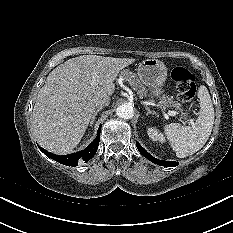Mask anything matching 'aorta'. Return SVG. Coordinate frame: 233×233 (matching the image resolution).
Instances as JSON below:
<instances>
[{
  "mask_svg": "<svg viewBox=\"0 0 233 233\" xmlns=\"http://www.w3.org/2000/svg\"><path fill=\"white\" fill-rule=\"evenodd\" d=\"M116 114L123 119H131L134 116V108L131 103H123L117 108Z\"/></svg>",
  "mask_w": 233,
  "mask_h": 233,
  "instance_id": "1",
  "label": "aorta"
}]
</instances>
